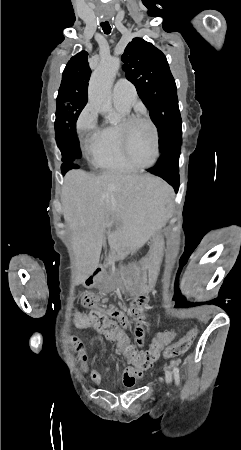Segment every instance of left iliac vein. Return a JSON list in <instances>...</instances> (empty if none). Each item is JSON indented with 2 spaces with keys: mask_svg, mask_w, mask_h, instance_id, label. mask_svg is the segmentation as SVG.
<instances>
[{
  "mask_svg": "<svg viewBox=\"0 0 241 450\" xmlns=\"http://www.w3.org/2000/svg\"><path fill=\"white\" fill-rule=\"evenodd\" d=\"M165 380L168 384L172 382V374L168 367L165 368Z\"/></svg>",
  "mask_w": 241,
  "mask_h": 450,
  "instance_id": "obj_1",
  "label": "left iliac vein"
}]
</instances>
